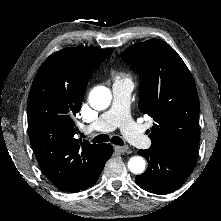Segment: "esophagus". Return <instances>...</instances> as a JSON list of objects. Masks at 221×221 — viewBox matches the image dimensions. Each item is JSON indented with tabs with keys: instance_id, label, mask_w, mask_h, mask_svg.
<instances>
[{
	"instance_id": "34e87169",
	"label": "esophagus",
	"mask_w": 221,
	"mask_h": 221,
	"mask_svg": "<svg viewBox=\"0 0 221 221\" xmlns=\"http://www.w3.org/2000/svg\"><path fill=\"white\" fill-rule=\"evenodd\" d=\"M114 149L120 153H125L128 151L129 147L127 145L124 146H114Z\"/></svg>"
}]
</instances>
